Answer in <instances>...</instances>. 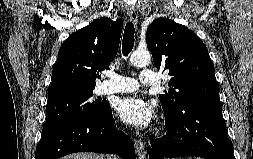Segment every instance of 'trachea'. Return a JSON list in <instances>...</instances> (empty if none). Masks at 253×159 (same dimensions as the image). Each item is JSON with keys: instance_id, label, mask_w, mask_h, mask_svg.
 I'll use <instances>...</instances> for the list:
<instances>
[{"instance_id": "trachea-1", "label": "trachea", "mask_w": 253, "mask_h": 159, "mask_svg": "<svg viewBox=\"0 0 253 159\" xmlns=\"http://www.w3.org/2000/svg\"><path fill=\"white\" fill-rule=\"evenodd\" d=\"M134 33L135 28L132 22H128L125 26L123 43H122V52L124 56H127L133 49L134 46Z\"/></svg>"}]
</instances>
